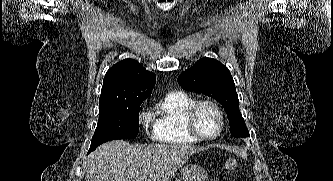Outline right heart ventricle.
Segmentation results:
<instances>
[{"label":"right heart ventricle","instance_id":"e07e8e85","mask_svg":"<svg viewBox=\"0 0 333 181\" xmlns=\"http://www.w3.org/2000/svg\"><path fill=\"white\" fill-rule=\"evenodd\" d=\"M195 102L183 92L165 95L151 110L153 138L167 144H192L198 141L189 134L185 124V113Z\"/></svg>","mask_w":333,"mask_h":181}]
</instances>
